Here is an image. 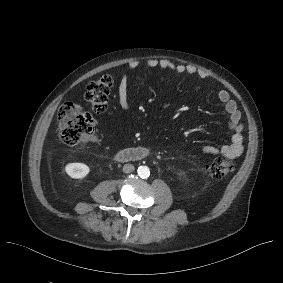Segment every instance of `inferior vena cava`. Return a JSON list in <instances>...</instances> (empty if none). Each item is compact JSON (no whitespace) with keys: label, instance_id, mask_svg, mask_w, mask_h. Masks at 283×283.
Segmentation results:
<instances>
[{"label":"inferior vena cava","instance_id":"obj_1","mask_svg":"<svg viewBox=\"0 0 283 283\" xmlns=\"http://www.w3.org/2000/svg\"><path fill=\"white\" fill-rule=\"evenodd\" d=\"M134 171V166L132 164H125L123 166V172L124 173H131Z\"/></svg>","mask_w":283,"mask_h":283}]
</instances>
